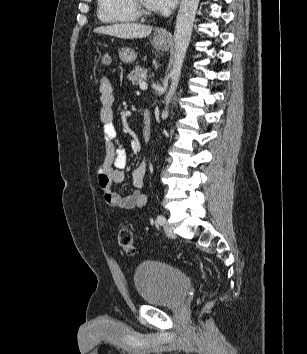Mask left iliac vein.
Masks as SVG:
<instances>
[{
    "label": "left iliac vein",
    "instance_id": "left-iliac-vein-1",
    "mask_svg": "<svg viewBox=\"0 0 307 354\" xmlns=\"http://www.w3.org/2000/svg\"><path fill=\"white\" fill-rule=\"evenodd\" d=\"M164 231L168 237L175 238V234L173 232V229L170 226V224H168L167 222H165V224H164Z\"/></svg>",
    "mask_w": 307,
    "mask_h": 354
}]
</instances>
